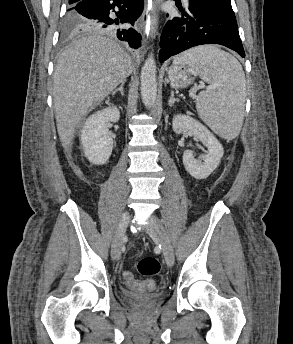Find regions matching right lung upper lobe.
Here are the masks:
<instances>
[{
  "mask_svg": "<svg viewBox=\"0 0 293 344\" xmlns=\"http://www.w3.org/2000/svg\"><path fill=\"white\" fill-rule=\"evenodd\" d=\"M79 0H69V4L74 5L75 3H77Z\"/></svg>",
  "mask_w": 293,
  "mask_h": 344,
  "instance_id": "cb5924a9",
  "label": "right lung upper lobe"
}]
</instances>
